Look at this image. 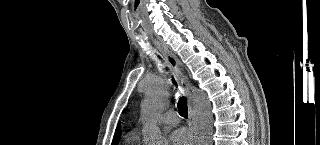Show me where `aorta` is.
<instances>
[{
  "instance_id": "762f6f07",
  "label": "aorta",
  "mask_w": 320,
  "mask_h": 145,
  "mask_svg": "<svg viewBox=\"0 0 320 145\" xmlns=\"http://www.w3.org/2000/svg\"><path fill=\"white\" fill-rule=\"evenodd\" d=\"M169 95V84L163 77H156L149 82L141 105L146 145H162L165 139L156 125V120L165 110ZM211 109L206 94L199 90L195 91L193 94V112L196 145H212L213 143V115Z\"/></svg>"
}]
</instances>
